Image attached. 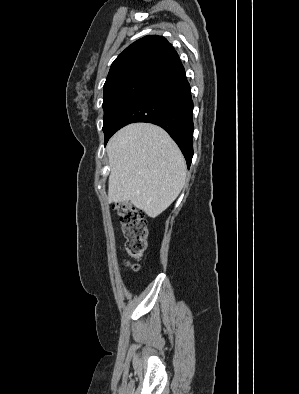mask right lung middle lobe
Returning a JSON list of instances; mask_svg holds the SVG:
<instances>
[{
  "label": "right lung middle lobe",
  "instance_id": "right-lung-middle-lobe-1",
  "mask_svg": "<svg viewBox=\"0 0 299 394\" xmlns=\"http://www.w3.org/2000/svg\"><path fill=\"white\" fill-rule=\"evenodd\" d=\"M148 87V85L144 84H126L104 92L103 131L105 141L111 135L123 113Z\"/></svg>",
  "mask_w": 299,
  "mask_h": 394
}]
</instances>
